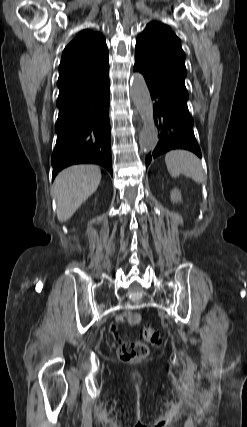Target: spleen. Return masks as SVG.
<instances>
[{"mask_svg":"<svg viewBox=\"0 0 247 427\" xmlns=\"http://www.w3.org/2000/svg\"><path fill=\"white\" fill-rule=\"evenodd\" d=\"M165 163L170 175L174 178L184 174L197 183L205 181V174L200 160L189 151L172 150L166 154Z\"/></svg>","mask_w":247,"mask_h":427,"instance_id":"obj_1","label":"spleen"}]
</instances>
